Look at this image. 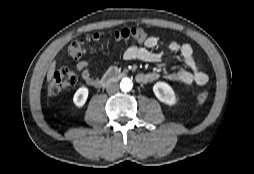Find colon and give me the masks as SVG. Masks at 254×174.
Returning <instances> with one entry per match:
<instances>
[{
    "mask_svg": "<svg viewBox=\"0 0 254 174\" xmlns=\"http://www.w3.org/2000/svg\"><path fill=\"white\" fill-rule=\"evenodd\" d=\"M148 38V32L140 27H128L112 32H94L84 38L70 43L68 53L73 58H80L86 53L88 43H101L104 41L115 42H145ZM77 74L68 68H61L55 71L48 84V95L50 97L58 96L60 93L76 84ZM209 96L207 90L201 91L197 95V102L204 103Z\"/></svg>",
    "mask_w": 254,
    "mask_h": 174,
    "instance_id": "5ec220e1",
    "label": "colon"
}]
</instances>
